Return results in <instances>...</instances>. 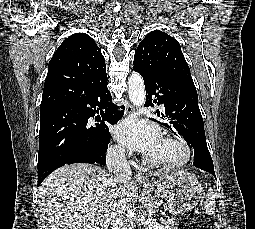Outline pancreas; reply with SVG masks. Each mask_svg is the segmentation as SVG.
Listing matches in <instances>:
<instances>
[{
    "instance_id": "1",
    "label": "pancreas",
    "mask_w": 255,
    "mask_h": 229,
    "mask_svg": "<svg viewBox=\"0 0 255 229\" xmlns=\"http://www.w3.org/2000/svg\"><path fill=\"white\" fill-rule=\"evenodd\" d=\"M177 225L178 223L171 219L164 220L162 223V229H177Z\"/></svg>"
}]
</instances>
